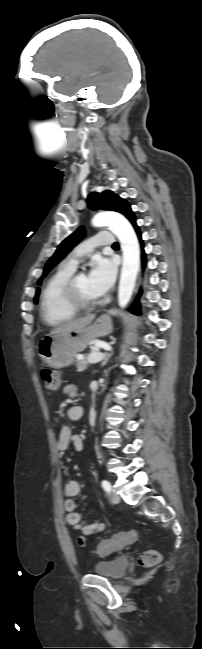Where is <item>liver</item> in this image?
Returning a JSON list of instances; mask_svg holds the SVG:
<instances>
[{
  "label": "liver",
  "instance_id": "1",
  "mask_svg": "<svg viewBox=\"0 0 202 649\" xmlns=\"http://www.w3.org/2000/svg\"><path fill=\"white\" fill-rule=\"evenodd\" d=\"M94 318H95L94 315H90V316H87V317L67 321V322L59 325L57 328L53 329L50 332L49 335H55V334H58V333H63V332H67V331H72V330H76V329L85 328L86 326L91 324V322L94 320Z\"/></svg>",
  "mask_w": 202,
  "mask_h": 649
}]
</instances>
